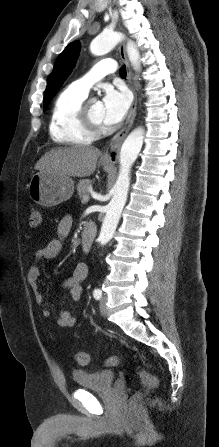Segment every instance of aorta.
Returning <instances> with one entry per match:
<instances>
[{
	"mask_svg": "<svg viewBox=\"0 0 219 447\" xmlns=\"http://www.w3.org/2000/svg\"><path fill=\"white\" fill-rule=\"evenodd\" d=\"M124 35L114 31H103L90 43V51L95 56H102L110 52L122 39ZM127 54L134 69H140V53L133 41L127 42ZM144 139L142 128L133 130L125 139L120 150L119 173L114 185V194L106 207L105 218L102 223L99 242L105 245L112 238L122 210L127 200L130 186V173L133 163L141 151Z\"/></svg>",
	"mask_w": 219,
	"mask_h": 447,
	"instance_id": "obj_1",
	"label": "aorta"
}]
</instances>
